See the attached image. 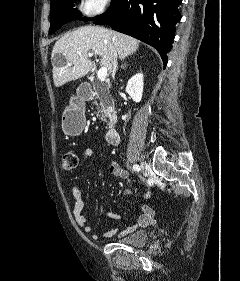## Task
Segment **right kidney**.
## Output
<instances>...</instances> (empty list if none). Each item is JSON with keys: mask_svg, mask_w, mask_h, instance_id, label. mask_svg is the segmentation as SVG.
<instances>
[{"mask_svg": "<svg viewBox=\"0 0 240 281\" xmlns=\"http://www.w3.org/2000/svg\"><path fill=\"white\" fill-rule=\"evenodd\" d=\"M143 74L137 73L127 83L126 92L135 102H140L143 93Z\"/></svg>", "mask_w": 240, "mask_h": 281, "instance_id": "ca27d5eb", "label": "right kidney"}]
</instances>
